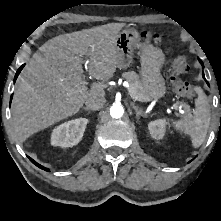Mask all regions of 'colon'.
Returning <instances> with one entry per match:
<instances>
[{"instance_id": "5ec220e1", "label": "colon", "mask_w": 221, "mask_h": 221, "mask_svg": "<svg viewBox=\"0 0 221 221\" xmlns=\"http://www.w3.org/2000/svg\"><path fill=\"white\" fill-rule=\"evenodd\" d=\"M144 37L146 39L152 38L156 43L160 42L159 36L144 35ZM188 70L189 64L186 58L183 56L176 57L174 60H172L169 66V74L174 91L177 94L185 97H191L195 93L194 86L182 79V76L187 73Z\"/></svg>"}]
</instances>
